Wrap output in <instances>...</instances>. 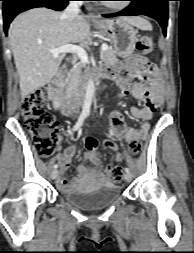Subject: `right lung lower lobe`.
Masks as SVG:
<instances>
[{
	"label": "right lung lower lobe",
	"mask_w": 194,
	"mask_h": 253,
	"mask_svg": "<svg viewBox=\"0 0 194 253\" xmlns=\"http://www.w3.org/2000/svg\"><path fill=\"white\" fill-rule=\"evenodd\" d=\"M3 1V25L7 35L8 27L19 13L36 7L63 10L70 0H0Z\"/></svg>",
	"instance_id": "obj_1"
}]
</instances>
